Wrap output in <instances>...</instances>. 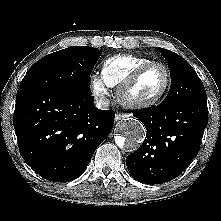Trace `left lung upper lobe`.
Here are the masks:
<instances>
[{
    "mask_svg": "<svg viewBox=\"0 0 221 221\" xmlns=\"http://www.w3.org/2000/svg\"><path fill=\"white\" fill-rule=\"evenodd\" d=\"M157 49L165 57L171 75L170 90L162 103L172 105L193 97H206L202 81L183 57L170 50Z\"/></svg>",
    "mask_w": 221,
    "mask_h": 221,
    "instance_id": "5c2ea615",
    "label": "left lung upper lobe"
}]
</instances>
